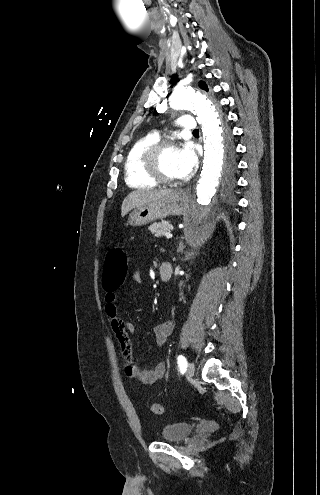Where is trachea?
Here are the masks:
<instances>
[{
  "instance_id": "obj_1",
  "label": "trachea",
  "mask_w": 320,
  "mask_h": 495,
  "mask_svg": "<svg viewBox=\"0 0 320 495\" xmlns=\"http://www.w3.org/2000/svg\"><path fill=\"white\" fill-rule=\"evenodd\" d=\"M193 133H199V130H198V129H195V130L193 131Z\"/></svg>"
}]
</instances>
